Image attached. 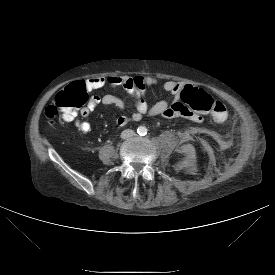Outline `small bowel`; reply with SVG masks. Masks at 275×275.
<instances>
[{
  "mask_svg": "<svg viewBox=\"0 0 275 275\" xmlns=\"http://www.w3.org/2000/svg\"><path fill=\"white\" fill-rule=\"evenodd\" d=\"M156 84H158V79L153 76L114 75L106 78L94 77L88 79L86 81V88L88 90H95L105 87L109 91L123 88L129 93L135 111L130 116L120 115L116 118V124L120 127L125 126L130 122L140 121L144 116H163L168 119L186 117L194 122H200L202 120L199 115L192 113L184 104L181 103L180 92L184 87V83L181 82L168 80L163 84V89L174 97L171 103L162 100L149 106L146 101V89L147 87ZM98 105L114 106L121 111L126 107V103L122 98L111 93L92 95L89 98L86 107L81 112L82 116H88ZM74 123L81 132L87 133L91 130V124L88 121L75 119Z\"/></svg>",
  "mask_w": 275,
  "mask_h": 275,
  "instance_id": "1",
  "label": "small bowel"
}]
</instances>
